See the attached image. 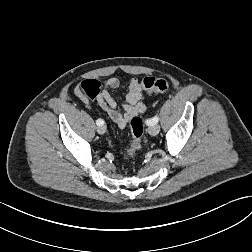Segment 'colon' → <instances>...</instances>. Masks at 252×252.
Here are the masks:
<instances>
[{
	"instance_id": "5ec220e1",
	"label": "colon",
	"mask_w": 252,
	"mask_h": 252,
	"mask_svg": "<svg viewBox=\"0 0 252 252\" xmlns=\"http://www.w3.org/2000/svg\"><path fill=\"white\" fill-rule=\"evenodd\" d=\"M140 83L142 88L147 91L165 92L169 87L168 81L159 77H145ZM80 90L86 98L94 99L101 92V83L95 79H87L81 83ZM129 126L132 132V142L124 153L127 159L133 157L141 148L144 134L143 122L140 117H132Z\"/></svg>"
}]
</instances>
